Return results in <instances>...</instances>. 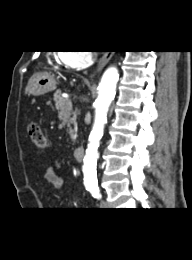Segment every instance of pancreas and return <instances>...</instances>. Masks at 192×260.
I'll return each instance as SVG.
<instances>
[{
  "label": "pancreas",
  "mask_w": 192,
  "mask_h": 260,
  "mask_svg": "<svg viewBox=\"0 0 192 260\" xmlns=\"http://www.w3.org/2000/svg\"><path fill=\"white\" fill-rule=\"evenodd\" d=\"M67 98H63L60 91H57L54 94V102L56 109L58 110V117L60 120H62L65 116L68 117V127H70V124H74L76 126V117L78 114V111H73L72 108L68 109L66 106ZM72 116V117H71ZM71 141L74 142L77 137V131L76 128L72 129L70 127L69 130Z\"/></svg>",
  "instance_id": "obj_1"
}]
</instances>
